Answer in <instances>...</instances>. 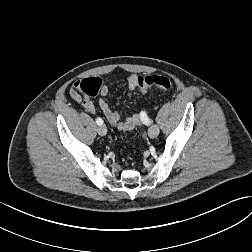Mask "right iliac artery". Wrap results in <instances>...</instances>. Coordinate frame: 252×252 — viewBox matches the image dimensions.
<instances>
[{
  "mask_svg": "<svg viewBox=\"0 0 252 252\" xmlns=\"http://www.w3.org/2000/svg\"><path fill=\"white\" fill-rule=\"evenodd\" d=\"M96 123H97L98 125H102V124H103V120H102L101 118H97V119H96Z\"/></svg>",
  "mask_w": 252,
  "mask_h": 252,
  "instance_id": "obj_1",
  "label": "right iliac artery"
}]
</instances>
